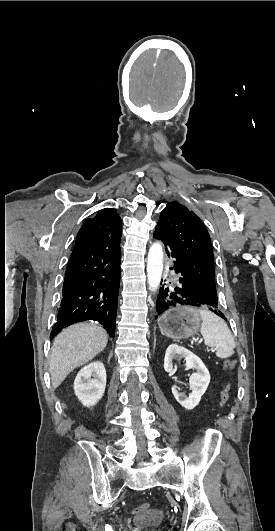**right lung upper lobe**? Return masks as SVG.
I'll list each match as a JSON object with an SVG mask.
<instances>
[{"instance_id": "obj_1", "label": "right lung upper lobe", "mask_w": 275, "mask_h": 531, "mask_svg": "<svg viewBox=\"0 0 275 531\" xmlns=\"http://www.w3.org/2000/svg\"><path fill=\"white\" fill-rule=\"evenodd\" d=\"M121 234L122 220L119 214L112 208H105L83 224L77 234L74 247L102 237L121 238Z\"/></svg>"}]
</instances>
